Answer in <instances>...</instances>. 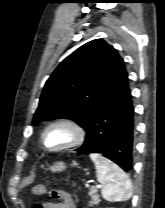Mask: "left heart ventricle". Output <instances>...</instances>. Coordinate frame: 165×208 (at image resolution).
I'll return each instance as SVG.
<instances>
[{
    "mask_svg": "<svg viewBox=\"0 0 165 208\" xmlns=\"http://www.w3.org/2000/svg\"><path fill=\"white\" fill-rule=\"evenodd\" d=\"M71 139L70 131L65 127H55L46 134V143L50 147H57L65 144Z\"/></svg>",
    "mask_w": 165,
    "mask_h": 208,
    "instance_id": "left-heart-ventricle-1",
    "label": "left heart ventricle"
}]
</instances>
